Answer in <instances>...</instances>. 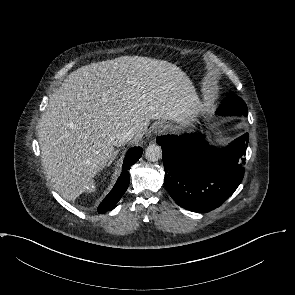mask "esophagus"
<instances>
[{
	"label": "esophagus",
	"instance_id": "esophagus-1",
	"mask_svg": "<svg viewBox=\"0 0 295 295\" xmlns=\"http://www.w3.org/2000/svg\"><path fill=\"white\" fill-rule=\"evenodd\" d=\"M169 129V125L166 123L159 122L154 126L153 132L155 135L166 133Z\"/></svg>",
	"mask_w": 295,
	"mask_h": 295
}]
</instances>
